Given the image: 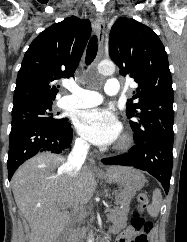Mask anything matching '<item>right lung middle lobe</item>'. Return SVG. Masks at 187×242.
<instances>
[{
  "instance_id": "obj_1",
  "label": "right lung middle lobe",
  "mask_w": 187,
  "mask_h": 242,
  "mask_svg": "<svg viewBox=\"0 0 187 242\" xmlns=\"http://www.w3.org/2000/svg\"><path fill=\"white\" fill-rule=\"evenodd\" d=\"M51 109L52 101L16 105L12 109V128L24 125H65L67 118L56 117Z\"/></svg>"
}]
</instances>
